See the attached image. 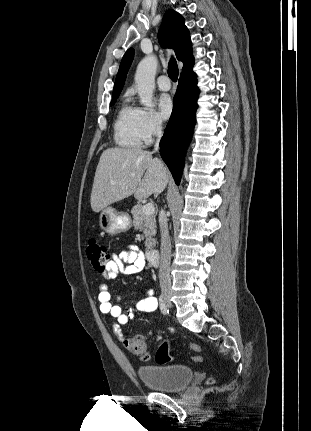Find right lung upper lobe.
<instances>
[{"label":"right lung upper lobe","mask_w":311,"mask_h":431,"mask_svg":"<svg viewBox=\"0 0 311 431\" xmlns=\"http://www.w3.org/2000/svg\"><path fill=\"white\" fill-rule=\"evenodd\" d=\"M158 40L163 48L172 47L177 59L183 62L184 66L181 74L192 69L194 57L191 54L192 44L189 31L184 24V18L179 13L172 9L166 12L158 32ZM133 56L134 50L132 48L128 49L123 56L115 80L112 98L119 96Z\"/></svg>","instance_id":"obj_1"}]
</instances>
